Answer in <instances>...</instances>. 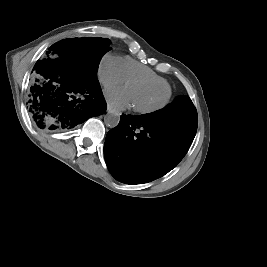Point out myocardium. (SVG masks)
<instances>
[{
	"instance_id": "f54148a6",
	"label": "myocardium",
	"mask_w": 267,
	"mask_h": 267,
	"mask_svg": "<svg viewBox=\"0 0 267 267\" xmlns=\"http://www.w3.org/2000/svg\"><path fill=\"white\" fill-rule=\"evenodd\" d=\"M135 82H140V83H150L154 86H163L165 88L168 89V95L167 97L159 104L151 106V107H137V106H133V110L135 112L138 113H142V114H149V113H153V112H157L161 109H163L164 107H166L172 97V90L171 87L168 85L163 84L162 82L159 81H155L153 79L147 78V77H141V76H135V77H131L129 79L126 80V85L130 84V83H135Z\"/></svg>"
}]
</instances>
